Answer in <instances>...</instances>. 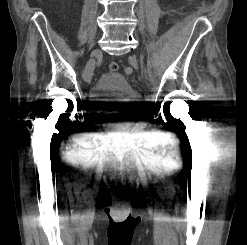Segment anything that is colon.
Masks as SVG:
<instances>
[{"label": "colon", "mask_w": 247, "mask_h": 245, "mask_svg": "<svg viewBox=\"0 0 247 245\" xmlns=\"http://www.w3.org/2000/svg\"><path fill=\"white\" fill-rule=\"evenodd\" d=\"M118 69H119L118 63H116V62H111V63L109 64V70H110L111 72H116V71H118Z\"/></svg>", "instance_id": "1"}]
</instances>
